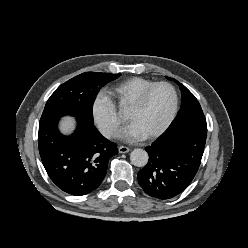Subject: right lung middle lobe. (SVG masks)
Masks as SVG:
<instances>
[{
    "label": "right lung middle lobe",
    "instance_id": "dd1d6c3e",
    "mask_svg": "<svg viewBox=\"0 0 248 248\" xmlns=\"http://www.w3.org/2000/svg\"><path fill=\"white\" fill-rule=\"evenodd\" d=\"M120 75L85 72L60 85L45 105L39 128L59 120L64 115H73L94 123L93 103L97 93L101 87Z\"/></svg>",
    "mask_w": 248,
    "mask_h": 248
}]
</instances>
